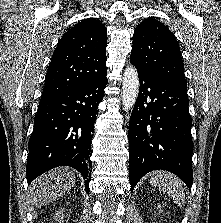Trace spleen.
<instances>
[{
	"label": "spleen",
	"instance_id": "obj_1",
	"mask_svg": "<svg viewBox=\"0 0 221 223\" xmlns=\"http://www.w3.org/2000/svg\"><path fill=\"white\" fill-rule=\"evenodd\" d=\"M151 183L171 196L179 207H183L185 203V193L182 183L178 178L168 173L163 175L159 174L151 178Z\"/></svg>",
	"mask_w": 221,
	"mask_h": 223
}]
</instances>
